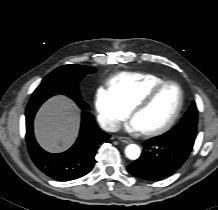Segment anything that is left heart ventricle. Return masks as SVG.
<instances>
[{"label": "left heart ventricle", "mask_w": 218, "mask_h": 210, "mask_svg": "<svg viewBox=\"0 0 218 210\" xmlns=\"http://www.w3.org/2000/svg\"><path fill=\"white\" fill-rule=\"evenodd\" d=\"M179 103V90L173 85L165 86L149 106L139 111L134 120L141 132L163 127L173 117Z\"/></svg>", "instance_id": "1"}]
</instances>
